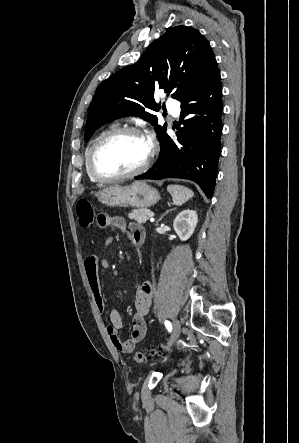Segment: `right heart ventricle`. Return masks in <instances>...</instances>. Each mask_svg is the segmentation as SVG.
Instances as JSON below:
<instances>
[{"label": "right heart ventricle", "mask_w": 299, "mask_h": 443, "mask_svg": "<svg viewBox=\"0 0 299 443\" xmlns=\"http://www.w3.org/2000/svg\"><path fill=\"white\" fill-rule=\"evenodd\" d=\"M116 127V125H110V126H108V127H106L105 129H103L101 132H99L94 138H93V140L90 142V144H89V146H88V148H87V150H86V154H85V168H86V172H87V174H88V176H89V178H90V180L92 181V182H98V181H96L91 175H90V173H89V170H88V154H89V151H90V149H91V147H92V145L102 136V135H104L105 133H107V132H109V131H111V130H113L114 128Z\"/></svg>", "instance_id": "obj_1"}]
</instances>
